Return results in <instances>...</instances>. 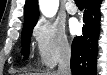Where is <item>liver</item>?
Instances as JSON below:
<instances>
[{"label": "liver", "instance_id": "6515ba94", "mask_svg": "<svg viewBox=\"0 0 107 75\" xmlns=\"http://www.w3.org/2000/svg\"><path fill=\"white\" fill-rule=\"evenodd\" d=\"M25 75H57L56 72H48V73H43V74H40V73H30V74H25Z\"/></svg>", "mask_w": 107, "mask_h": 75}]
</instances>
